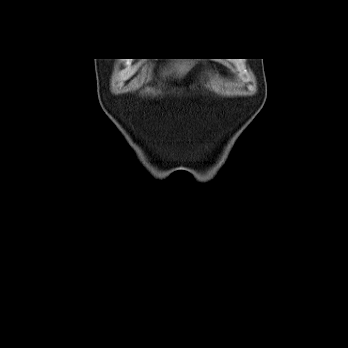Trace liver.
<instances>
[{
  "label": "liver",
  "instance_id": "liver-1",
  "mask_svg": "<svg viewBox=\"0 0 348 348\" xmlns=\"http://www.w3.org/2000/svg\"><path fill=\"white\" fill-rule=\"evenodd\" d=\"M191 66L192 65H190V63H188V62H182V63L176 64L174 70L177 72V74L180 77H182L190 70Z\"/></svg>",
  "mask_w": 348,
  "mask_h": 348
}]
</instances>
